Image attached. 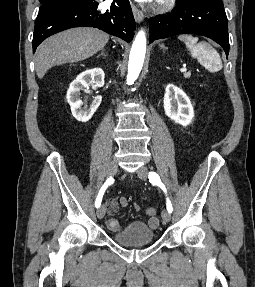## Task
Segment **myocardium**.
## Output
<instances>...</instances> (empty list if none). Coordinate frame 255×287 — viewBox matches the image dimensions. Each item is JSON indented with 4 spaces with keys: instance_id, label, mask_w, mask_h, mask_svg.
I'll list each match as a JSON object with an SVG mask.
<instances>
[{
    "instance_id": "obj_1",
    "label": "myocardium",
    "mask_w": 255,
    "mask_h": 287,
    "mask_svg": "<svg viewBox=\"0 0 255 287\" xmlns=\"http://www.w3.org/2000/svg\"><path fill=\"white\" fill-rule=\"evenodd\" d=\"M148 33H151V32H148ZM143 39H145V38H143ZM159 39H165V38H159ZM119 48H121V47H119ZM133 48H135V47H133ZM164 48H168V47H164Z\"/></svg>"
}]
</instances>
